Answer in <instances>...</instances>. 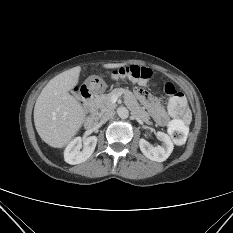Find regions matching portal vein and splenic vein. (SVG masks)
I'll return each mask as SVG.
<instances>
[{
	"instance_id": "1",
	"label": "portal vein and splenic vein",
	"mask_w": 233,
	"mask_h": 233,
	"mask_svg": "<svg viewBox=\"0 0 233 233\" xmlns=\"http://www.w3.org/2000/svg\"><path fill=\"white\" fill-rule=\"evenodd\" d=\"M117 99H118V96H113L112 97V102H116Z\"/></svg>"
}]
</instances>
